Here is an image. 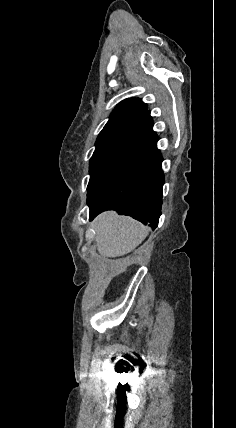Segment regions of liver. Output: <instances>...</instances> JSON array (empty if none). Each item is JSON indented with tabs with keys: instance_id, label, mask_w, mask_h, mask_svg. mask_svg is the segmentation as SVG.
<instances>
[{
	"instance_id": "liver-1",
	"label": "liver",
	"mask_w": 236,
	"mask_h": 428,
	"mask_svg": "<svg viewBox=\"0 0 236 428\" xmlns=\"http://www.w3.org/2000/svg\"><path fill=\"white\" fill-rule=\"evenodd\" d=\"M95 242L100 256L118 258L133 252L147 238L150 228L129 216L104 212L93 222Z\"/></svg>"
}]
</instances>
